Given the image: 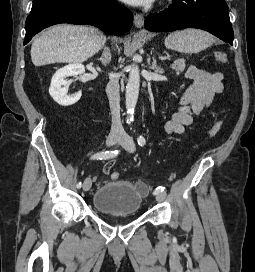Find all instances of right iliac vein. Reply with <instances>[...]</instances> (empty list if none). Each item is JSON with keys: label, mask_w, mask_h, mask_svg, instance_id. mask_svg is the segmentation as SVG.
Instances as JSON below:
<instances>
[{"label": "right iliac vein", "mask_w": 255, "mask_h": 272, "mask_svg": "<svg viewBox=\"0 0 255 272\" xmlns=\"http://www.w3.org/2000/svg\"><path fill=\"white\" fill-rule=\"evenodd\" d=\"M120 140H121V136L111 133V134H109V136L106 139V145L107 146H112L116 142H119ZM91 186H92L91 178L85 179V181L83 183V190L88 191L91 188Z\"/></svg>", "instance_id": "obj_1"}]
</instances>
